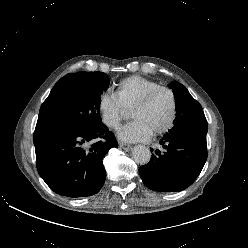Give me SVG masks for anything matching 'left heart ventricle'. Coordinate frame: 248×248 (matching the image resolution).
<instances>
[{
  "label": "left heart ventricle",
  "instance_id": "obj_1",
  "mask_svg": "<svg viewBox=\"0 0 248 248\" xmlns=\"http://www.w3.org/2000/svg\"><path fill=\"white\" fill-rule=\"evenodd\" d=\"M172 109L170 95L161 91L157 93L151 102L143 108H135L130 111L133 120L142 121L153 133L168 121Z\"/></svg>",
  "mask_w": 248,
  "mask_h": 248
}]
</instances>
